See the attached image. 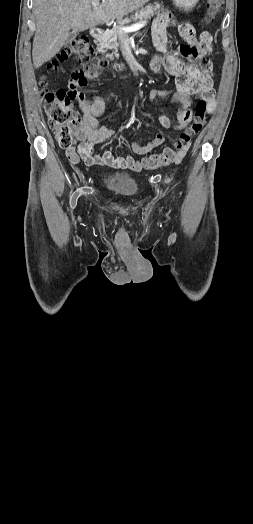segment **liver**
I'll use <instances>...</instances> for the list:
<instances>
[{"label":"liver","mask_w":253,"mask_h":524,"mask_svg":"<svg viewBox=\"0 0 253 524\" xmlns=\"http://www.w3.org/2000/svg\"><path fill=\"white\" fill-rule=\"evenodd\" d=\"M34 0L36 32L32 58L35 68L51 60L73 32H81L138 10L150 0Z\"/></svg>","instance_id":"liver-1"}]
</instances>
